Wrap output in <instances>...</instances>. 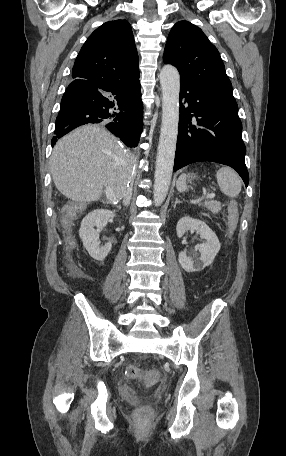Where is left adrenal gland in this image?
I'll return each mask as SVG.
<instances>
[{"label":"left adrenal gland","instance_id":"obj_1","mask_svg":"<svg viewBox=\"0 0 286 456\" xmlns=\"http://www.w3.org/2000/svg\"><path fill=\"white\" fill-rule=\"evenodd\" d=\"M178 203H181V201H179V200L176 198V201H175V203H174V208L176 207V205H177Z\"/></svg>","mask_w":286,"mask_h":456}]
</instances>
